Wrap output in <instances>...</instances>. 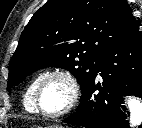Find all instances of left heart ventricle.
Instances as JSON below:
<instances>
[{"label":"left heart ventricle","instance_id":"b2bd125f","mask_svg":"<svg viewBox=\"0 0 142 128\" xmlns=\"http://www.w3.org/2000/svg\"><path fill=\"white\" fill-rule=\"evenodd\" d=\"M69 97V86L64 79L56 76L47 78L41 86L40 107L46 112H58L67 105Z\"/></svg>","mask_w":142,"mask_h":128}]
</instances>
